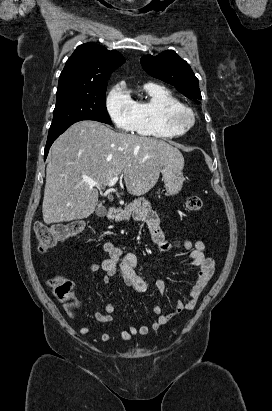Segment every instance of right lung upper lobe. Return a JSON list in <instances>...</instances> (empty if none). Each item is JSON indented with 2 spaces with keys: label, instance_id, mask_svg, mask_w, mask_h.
Returning <instances> with one entry per match:
<instances>
[{
  "label": "right lung upper lobe",
  "instance_id": "cb5924a9",
  "mask_svg": "<svg viewBox=\"0 0 272 411\" xmlns=\"http://www.w3.org/2000/svg\"><path fill=\"white\" fill-rule=\"evenodd\" d=\"M125 62L118 51L96 43L77 47L59 77L57 92L90 88L107 83L112 72Z\"/></svg>",
  "mask_w": 272,
  "mask_h": 411
}]
</instances>
